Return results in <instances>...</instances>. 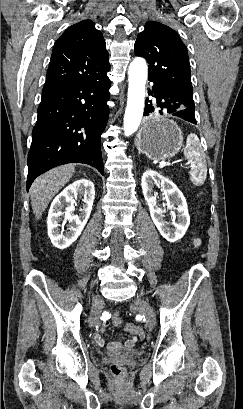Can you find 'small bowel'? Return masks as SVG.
I'll use <instances>...</instances> for the list:
<instances>
[{
    "instance_id": "small-bowel-1",
    "label": "small bowel",
    "mask_w": 243,
    "mask_h": 409,
    "mask_svg": "<svg viewBox=\"0 0 243 409\" xmlns=\"http://www.w3.org/2000/svg\"><path fill=\"white\" fill-rule=\"evenodd\" d=\"M201 241L200 239L195 240V246L198 247L200 245ZM109 325V320H105L102 322L100 325L99 331L94 335V341L98 346H104L105 345V339L103 338V333L107 329ZM132 334V333H131ZM140 337H138L135 334H132L131 336L126 337L123 341H113L108 344V348L110 349H116V348H131L135 345V343L138 341Z\"/></svg>"
}]
</instances>
